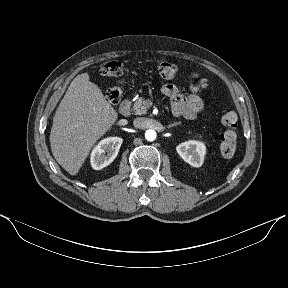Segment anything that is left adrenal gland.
I'll list each match as a JSON object with an SVG mask.
<instances>
[{"label":"left adrenal gland","instance_id":"left-adrenal-gland-1","mask_svg":"<svg viewBox=\"0 0 288 288\" xmlns=\"http://www.w3.org/2000/svg\"><path fill=\"white\" fill-rule=\"evenodd\" d=\"M180 124H181V122H175L173 124L168 125L167 128H171V127H174V126H177V125H180Z\"/></svg>","mask_w":288,"mask_h":288}]
</instances>
